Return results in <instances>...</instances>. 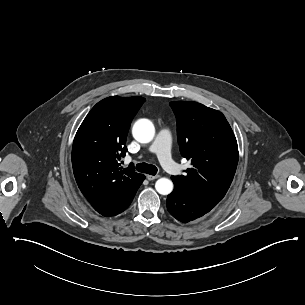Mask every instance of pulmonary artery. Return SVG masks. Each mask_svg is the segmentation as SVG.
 <instances>
[{"instance_id": "1", "label": "pulmonary artery", "mask_w": 305, "mask_h": 305, "mask_svg": "<svg viewBox=\"0 0 305 305\" xmlns=\"http://www.w3.org/2000/svg\"><path fill=\"white\" fill-rule=\"evenodd\" d=\"M170 137L169 130L163 128L159 130L154 140L147 147V151L154 153L160 159L161 165L164 171L174 174L177 172L178 167L172 163L170 157V146L171 142L168 139Z\"/></svg>"}]
</instances>
